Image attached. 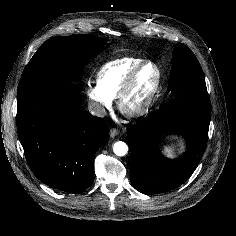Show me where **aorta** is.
<instances>
[{
	"label": "aorta",
	"instance_id": "1",
	"mask_svg": "<svg viewBox=\"0 0 236 236\" xmlns=\"http://www.w3.org/2000/svg\"><path fill=\"white\" fill-rule=\"evenodd\" d=\"M113 151L117 156H124L128 152V146L122 141H118L113 146Z\"/></svg>",
	"mask_w": 236,
	"mask_h": 236
}]
</instances>
